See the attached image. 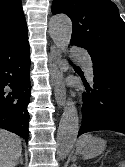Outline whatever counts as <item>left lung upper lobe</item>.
<instances>
[{"label":"left lung upper lobe","mask_w":125,"mask_h":167,"mask_svg":"<svg viewBox=\"0 0 125 167\" xmlns=\"http://www.w3.org/2000/svg\"><path fill=\"white\" fill-rule=\"evenodd\" d=\"M52 13L70 17V43L87 49L93 63L125 70V23L111 0H53Z\"/></svg>","instance_id":"5c2ea615"}]
</instances>
